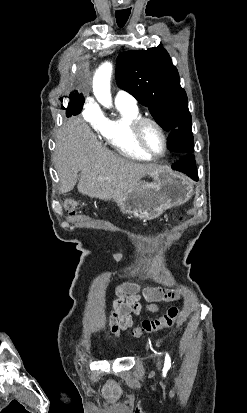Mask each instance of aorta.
I'll use <instances>...</instances> for the list:
<instances>
[{
	"instance_id": "obj_1",
	"label": "aorta",
	"mask_w": 247,
	"mask_h": 413,
	"mask_svg": "<svg viewBox=\"0 0 247 413\" xmlns=\"http://www.w3.org/2000/svg\"><path fill=\"white\" fill-rule=\"evenodd\" d=\"M112 69V64L105 62L98 68L93 78L94 95L98 102L107 108L112 106L110 91Z\"/></svg>"
}]
</instances>
